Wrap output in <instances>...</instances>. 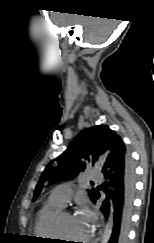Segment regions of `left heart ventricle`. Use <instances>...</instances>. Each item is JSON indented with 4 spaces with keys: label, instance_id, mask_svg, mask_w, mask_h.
<instances>
[{
    "label": "left heart ventricle",
    "instance_id": "obj_1",
    "mask_svg": "<svg viewBox=\"0 0 154 243\" xmlns=\"http://www.w3.org/2000/svg\"><path fill=\"white\" fill-rule=\"evenodd\" d=\"M59 225L61 234L64 238L71 240L86 239L90 231L87 226L79 219L70 214H63L59 217ZM76 242V241H75ZM67 243H74V241H67Z\"/></svg>",
    "mask_w": 154,
    "mask_h": 243
}]
</instances>
